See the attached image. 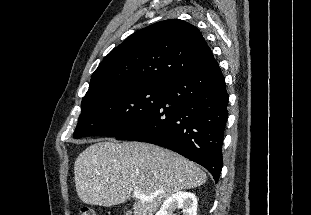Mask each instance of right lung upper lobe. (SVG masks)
Segmentation results:
<instances>
[{
    "instance_id": "right-lung-upper-lobe-1",
    "label": "right lung upper lobe",
    "mask_w": 311,
    "mask_h": 215,
    "mask_svg": "<svg viewBox=\"0 0 311 215\" xmlns=\"http://www.w3.org/2000/svg\"><path fill=\"white\" fill-rule=\"evenodd\" d=\"M215 61L197 27L179 19L157 22L130 35L104 58L84 97L103 90L163 85Z\"/></svg>"
}]
</instances>
